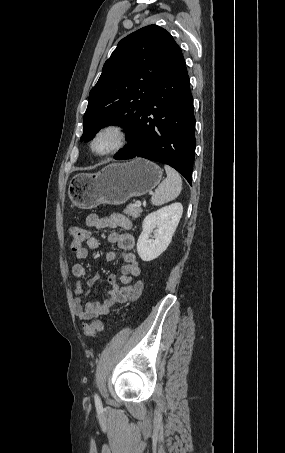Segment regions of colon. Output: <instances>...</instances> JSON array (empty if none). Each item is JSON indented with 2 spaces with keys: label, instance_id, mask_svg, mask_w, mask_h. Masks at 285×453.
Listing matches in <instances>:
<instances>
[{
  "label": "colon",
  "instance_id": "obj_1",
  "mask_svg": "<svg viewBox=\"0 0 285 453\" xmlns=\"http://www.w3.org/2000/svg\"><path fill=\"white\" fill-rule=\"evenodd\" d=\"M87 238V231L82 226L76 225L71 229V249L74 252H79L83 249V244ZM103 329V322L100 320L86 323L83 326V332L87 337H94Z\"/></svg>",
  "mask_w": 285,
  "mask_h": 453
}]
</instances>
